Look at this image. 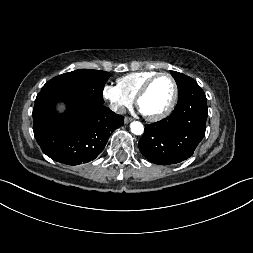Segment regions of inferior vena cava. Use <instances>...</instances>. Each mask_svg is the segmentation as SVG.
Masks as SVG:
<instances>
[{
  "mask_svg": "<svg viewBox=\"0 0 253 253\" xmlns=\"http://www.w3.org/2000/svg\"><path fill=\"white\" fill-rule=\"evenodd\" d=\"M110 109L114 112H117L119 114H125L126 113V108L124 106H120L115 103L110 104Z\"/></svg>",
  "mask_w": 253,
  "mask_h": 253,
  "instance_id": "602c4592",
  "label": "inferior vena cava"
}]
</instances>
